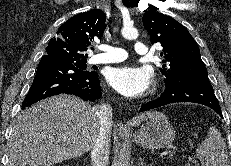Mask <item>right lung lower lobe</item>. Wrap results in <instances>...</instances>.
Instances as JSON below:
<instances>
[{
    "label": "right lung lower lobe",
    "instance_id": "98d812e1",
    "mask_svg": "<svg viewBox=\"0 0 231 166\" xmlns=\"http://www.w3.org/2000/svg\"><path fill=\"white\" fill-rule=\"evenodd\" d=\"M60 93L72 94L85 101H95L102 96L98 74L79 69L70 62L45 55L39 62L22 108Z\"/></svg>",
    "mask_w": 231,
    "mask_h": 166
}]
</instances>
